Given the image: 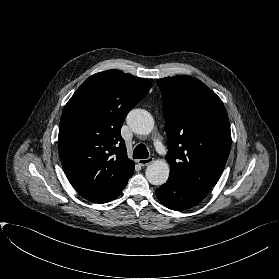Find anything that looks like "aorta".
I'll return each instance as SVG.
<instances>
[{"instance_id":"obj_1","label":"aorta","mask_w":279,"mask_h":279,"mask_svg":"<svg viewBox=\"0 0 279 279\" xmlns=\"http://www.w3.org/2000/svg\"><path fill=\"white\" fill-rule=\"evenodd\" d=\"M127 124L136 134L147 135L154 128L152 115L143 109H133L127 115ZM146 178L153 185L164 184L169 177V166L164 160H156L146 168Z\"/></svg>"}]
</instances>
